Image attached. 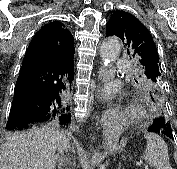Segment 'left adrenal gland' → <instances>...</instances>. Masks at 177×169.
Instances as JSON below:
<instances>
[{
	"label": "left adrenal gland",
	"mask_w": 177,
	"mask_h": 169,
	"mask_svg": "<svg viewBox=\"0 0 177 169\" xmlns=\"http://www.w3.org/2000/svg\"><path fill=\"white\" fill-rule=\"evenodd\" d=\"M118 169H121V163H119Z\"/></svg>",
	"instance_id": "left-adrenal-gland-1"
}]
</instances>
